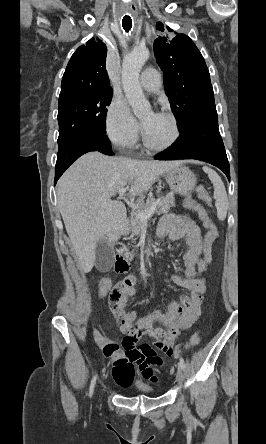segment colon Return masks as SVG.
Here are the masks:
<instances>
[{
  "instance_id": "obj_1",
  "label": "colon",
  "mask_w": 266,
  "mask_h": 444,
  "mask_svg": "<svg viewBox=\"0 0 266 444\" xmlns=\"http://www.w3.org/2000/svg\"><path fill=\"white\" fill-rule=\"evenodd\" d=\"M196 195L206 204L210 205V197L203 186H197L195 188ZM185 206L188 209L194 210L198 213L203 226L206 230L203 247L201 256L196 264L195 267V274L194 277L196 279L202 278V274L206 271L207 267L212 261V255H213V244L217 238L218 231L215 226V224L212 222V220L209 218L206 210L191 196H188L185 199ZM132 283L125 279L120 282H118L111 290L108 303L110 308H116L118 306H124L126 305L128 299L132 292ZM156 311V310H155ZM154 311V312H155ZM136 312V311H133ZM152 312V313H154ZM137 313V312H136ZM151 313V314H152ZM139 314V313H138ZM202 332L198 331L196 332L184 345H182L179 349L176 350V353L185 352L201 341Z\"/></svg>"
}]
</instances>
